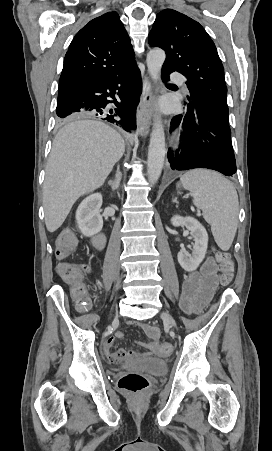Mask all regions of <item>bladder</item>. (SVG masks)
I'll return each instance as SVG.
<instances>
[{
    "instance_id": "bladder-1",
    "label": "bladder",
    "mask_w": 272,
    "mask_h": 451,
    "mask_svg": "<svg viewBox=\"0 0 272 451\" xmlns=\"http://www.w3.org/2000/svg\"><path fill=\"white\" fill-rule=\"evenodd\" d=\"M167 360L150 354L134 356L131 360L119 365L123 368L133 367L136 371L155 376H163L167 371Z\"/></svg>"
}]
</instances>
